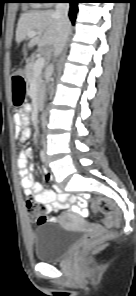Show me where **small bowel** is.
I'll use <instances>...</instances> for the list:
<instances>
[{"mask_svg":"<svg viewBox=\"0 0 136 296\" xmlns=\"http://www.w3.org/2000/svg\"><path fill=\"white\" fill-rule=\"evenodd\" d=\"M30 111L31 107L25 105L14 115V121L22 127V131L19 135L20 142L26 141L31 135V130L27 126ZM30 156H32L31 150H23L17 160L18 174L21 179V187L24 195L42 204L47 213L70 208L74 213L80 216H88L84 198H80L78 204H73V198L69 195L63 192L45 189L35 180L33 166L28 165V157ZM45 179L47 181H52L53 176L45 171ZM55 220V217H47V222H54Z\"/></svg>","mask_w":136,"mask_h":296,"instance_id":"obj_1","label":"small bowel"}]
</instances>
